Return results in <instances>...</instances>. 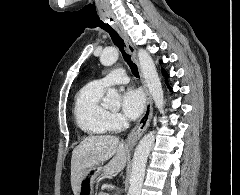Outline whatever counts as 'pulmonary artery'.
Returning <instances> with one entry per match:
<instances>
[{
  "mask_svg": "<svg viewBox=\"0 0 240 195\" xmlns=\"http://www.w3.org/2000/svg\"><path fill=\"white\" fill-rule=\"evenodd\" d=\"M119 70L120 71H112L111 72V75L102 79V78H99L98 79V82L99 83H102L106 86V87H109L113 84H116V83H125L128 81V76L125 75V71L124 70V67L123 66H120L119 67Z\"/></svg>",
  "mask_w": 240,
  "mask_h": 195,
  "instance_id": "1",
  "label": "pulmonary artery"
}]
</instances>
